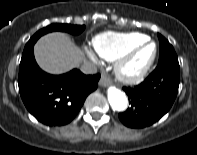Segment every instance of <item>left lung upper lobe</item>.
<instances>
[{
  "instance_id": "left-lung-upper-lobe-1",
  "label": "left lung upper lobe",
  "mask_w": 197,
  "mask_h": 155,
  "mask_svg": "<svg viewBox=\"0 0 197 155\" xmlns=\"http://www.w3.org/2000/svg\"><path fill=\"white\" fill-rule=\"evenodd\" d=\"M158 38L160 45V56H159L158 64H163V63L179 64L173 46L162 35L158 34Z\"/></svg>"
}]
</instances>
